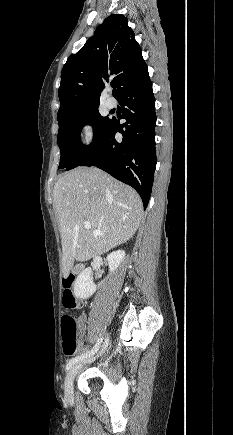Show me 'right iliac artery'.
I'll list each match as a JSON object with an SVG mask.
<instances>
[{
    "label": "right iliac artery",
    "instance_id": "82829eb1",
    "mask_svg": "<svg viewBox=\"0 0 233 435\" xmlns=\"http://www.w3.org/2000/svg\"><path fill=\"white\" fill-rule=\"evenodd\" d=\"M101 342H102V337H100V338L97 340L95 346H94L90 351H87V352L84 353V354H81V355H79V356H76V357L72 358V359L68 362V364H67V366H66V370L68 371V370H69L73 365H75L76 363L82 361L83 359H85V358H87V357H90V356L94 355V354L98 351Z\"/></svg>",
    "mask_w": 233,
    "mask_h": 435
}]
</instances>
